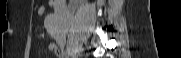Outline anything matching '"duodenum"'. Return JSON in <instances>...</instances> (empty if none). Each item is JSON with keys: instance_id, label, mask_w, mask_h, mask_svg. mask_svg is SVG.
Here are the masks:
<instances>
[{"instance_id": "1", "label": "duodenum", "mask_w": 181, "mask_h": 58, "mask_svg": "<svg viewBox=\"0 0 181 58\" xmlns=\"http://www.w3.org/2000/svg\"><path fill=\"white\" fill-rule=\"evenodd\" d=\"M79 1L78 0H72L71 4L76 5ZM67 1L66 0H55L54 5L56 10L63 11L66 8Z\"/></svg>"}]
</instances>
